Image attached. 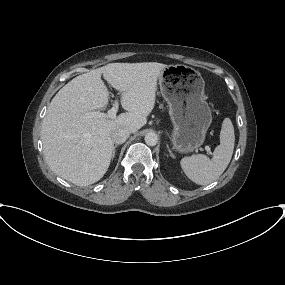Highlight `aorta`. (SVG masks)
I'll use <instances>...</instances> for the list:
<instances>
[{
	"mask_svg": "<svg viewBox=\"0 0 285 285\" xmlns=\"http://www.w3.org/2000/svg\"><path fill=\"white\" fill-rule=\"evenodd\" d=\"M145 142L149 146H155L158 142V136L155 133L150 132V133L146 134Z\"/></svg>",
	"mask_w": 285,
	"mask_h": 285,
	"instance_id": "1",
	"label": "aorta"
}]
</instances>
